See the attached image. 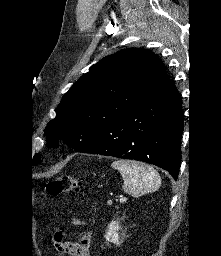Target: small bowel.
<instances>
[{
  "mask_svg": "<svg viewBox=\"0 0 221 256\" xmlns=\"http://www.w3.org/2000/svg\"><path fill=\"white\" fill-rule=\"evenodd\" d=\"M62 248L71 256H91L90 234L86 233L77 242H64Z\"/></svg>",
  "mask_w": 221,
  "mask_h": 256,
  "instance_id": "small-bowel-1",
  "label": "small bowel"
}]
</instances>
